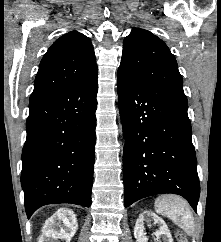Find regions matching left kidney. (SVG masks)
<instances>
[{
    "instance_id": "left-kidney-1",
    "label": "left kidney",
    "mask_w": 221,
    "mask_h": 242,
    "mask_svg": "<svg viewBox=\"0 0 221 242\" xmlns=\"http://www.w3.org/2000/svg\"><path fill=\"white\" fill-rule=\"evenodd\" d=\"M150 220H153L154 223L159 226L158 230L155 232L157 239L162 237L163 242H173L172 235L165 221L151 211H143L136 221L134 227V237L136 238V242H148V237L144 231V221ZM158 242L161 241L158 240Z\"/></svg>"
}]
</instances>
